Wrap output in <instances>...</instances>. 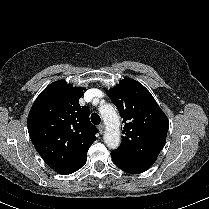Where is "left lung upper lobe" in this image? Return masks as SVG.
<instances>
[{"label": "left lung upper lobe", "mask_w": 209, "mask_h": 209, "mask_svg": "<svg viewBox=\"0 0 209 209\" xmlns=\"http://www.w3.org/2000/svg\"><path fill=\"white\" fill-rule=\"evenodd\" d=\"M107 95L125 124L122 143L112 153L154 163L165 145L169 122L151 93L136 80L124 79Z\"/></svg>", "instance_id": "obj_1"}]
</instances>
